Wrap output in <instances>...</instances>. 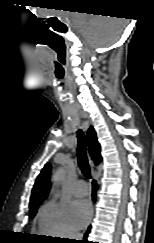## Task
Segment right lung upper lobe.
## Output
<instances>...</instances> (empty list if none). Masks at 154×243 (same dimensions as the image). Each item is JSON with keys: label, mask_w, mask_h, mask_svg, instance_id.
<instances>
[{"label": "right lung upper lobe", "mask_w": 154, "mask_h": 243, "mask_svg": "<svg viewBox=\"0 0 154 243\" xmlns=\"http://www.w3.org/2000/svg\"><path fill=\"white\" fill-rule=\"evenodd\" d=\"M88 137V149L89 153L94 160L95 164H98L102 157L100 155V144L97 141L96 132L93 127H90L87 132ZM50 164L47 163L38 175L35 185L32 189V195L30 199L29 207L38 206L48 195L49 188V175H50Z\"/></svg>", "instance_id": "obj_1"}]
</instances>
